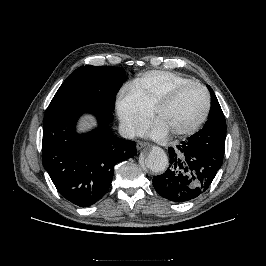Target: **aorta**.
<instances>
[{"mask_svg": "<svg viewBox=\"0 0 266 266\" xmlns=\"http://www.w3.org/2000/svg\"><path fill=\"white\" fill-rule=\"evenodd\" d=\"M145 165L155 173L163 172L168 166V157L160 147H152L147 157Z\"/></svg>", "mask_w": 266, "mask_h": 266, "instance_id": "762f6f07", "label": "aorta"}]
</instances>
